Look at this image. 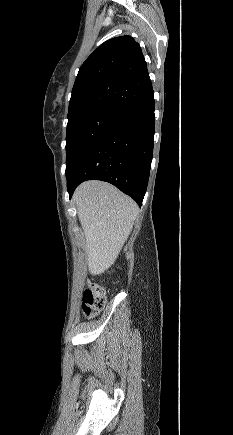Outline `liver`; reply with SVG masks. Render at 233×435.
Returning a JSON list of instances; mask_svg holds the SVG:
<instances>
[{
    "label": "liver",
    "instance_id": "1",
    "mask_svg": "<svg viewBox=\"0 0 233 435\" xmlns=\"http://www.w3.org/2000/svg\"><path fill=\"white\" fill-rule=\"evenodd\" d=\"M86 238L90 274L104 273L117 259L138 213L137 204L113 185L87 181L73 196Z\"/></svg>",
    "mask_w": 233,
    "mask_h": 435
}]
</instances>
